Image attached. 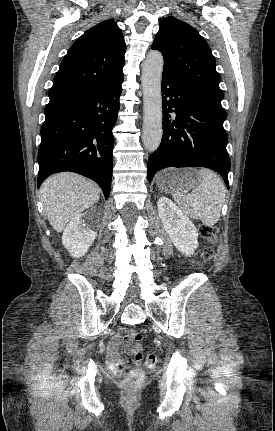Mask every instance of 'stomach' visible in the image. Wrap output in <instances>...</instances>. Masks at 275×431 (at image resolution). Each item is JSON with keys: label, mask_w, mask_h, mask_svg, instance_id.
Segmentation results:
<instances>
[{"label": "stomach", "mask_w": 275, "mask_h": 431, "mask_svg": "<svg viewBox=\"0 0 275 431\" xmlns=\"http://www.w3.org/2000/svg\"><path fill=\"white\" fill-rule=\"evenodd\" d=\"M194 169H167L158 174L156 183L165 192H186L200 183Z\"/></svg>", "instance_id": "0dacf381"}]
</instances>
